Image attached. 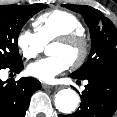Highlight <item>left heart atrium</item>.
<instances>
[{
    "label": "left heart atrium",
    "mask_w": 117,
    "mask_h": 117,
    "mask_svg": "<svg viewBox=\"0 0 117 117\" xmlns=\"http://www.w3.org/2000/svg\"><path fill=\"white\" fill-rule=\"evenodd\" d=\"M70 67V62L62 56H50L29 64L28 74L46 83H52L55 78Z\"/></svg>",
    "instance_id": "left-heart-atrium-1"
}]
</instances>
